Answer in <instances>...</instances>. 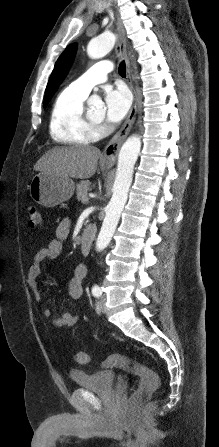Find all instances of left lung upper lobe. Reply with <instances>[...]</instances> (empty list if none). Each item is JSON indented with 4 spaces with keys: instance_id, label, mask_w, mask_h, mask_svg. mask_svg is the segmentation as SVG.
I'll list each match as a JSON object with an SVG mask.
<instances>
[{
    "instance_id": "obj_1",
    "label": "left lung upper lobe",
    "mask_w": 219,
    "mask_h": 447,
    "mask_svg": "<svg viewBox=\"0 0 219 447\" xmlns=\"http://www.w3.org/2000/svg\"><path fill=\"white\" fill-rule=\"evenodd\" d=\"M76 51V44L69 45L58 58L46 87L44 106H46L65 78Z\"/></svg>"
}]
</instances>
